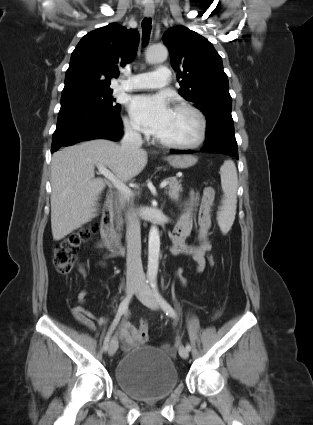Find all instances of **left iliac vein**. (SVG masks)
<instances>
[{
    "mask_svg": "<svg viewBox=\"0 0 313 425\" xmlns=\"http://www.w3.org/2000/svg\"><path fill=\"white\" fill-rule=\"evenodd\" d=\"M138 295H139L140 301L144 305H146L147 307H149L150 309H153V310L159 309V302L156 299V297L154 296L150 287L146 283H139ZM179 355L183 359H186L189 356V351L184 346H180L179 347Z\"/></svg>",
    "mask_w": 313,
    "mask_h": 425,
    "instance_id": "left-iliac-vein-1",
    "label": "left iliac vein"
}]
</instances>
